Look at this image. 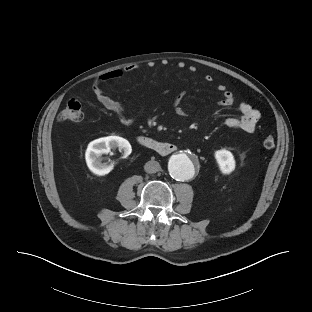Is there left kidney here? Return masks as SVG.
<instances>
[{
    "label": "left kidney",
    "instance_id": "5707ae66",
    "mask_svg": "<svg viewBox=\"0 0 312 312\" xmlns=\"http://www.w3.org/2000/svg\"><path fill=\"white\" fill-rule=\"evenodd\" d=\"M215 159L223 174H230L235 169V160L233 154L225 149L215 152Z\"/></svg>",
    "mask_w": 312,
    "mask_h": 312
}]
</instances>
